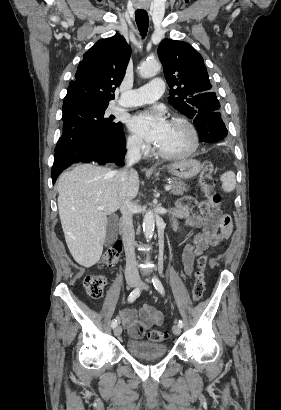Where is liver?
Listing matches in <instances>:
<instances>
[{
    "label": "liver",
    "mask_w": 281,
    "mask_h": 410,
    "mask_svg": "<svg viewBox=\"0 0 281 410\" xmlns=\"http://www.w3.org/2000/svg\"><path fill=\"white\" fill-rule=\"evenodd\" d=\"M139 176L129 174L127 198L139 192ZM58 209L65 240L74 260L95 265L103 252L108 219L120 208V190L115 171L93 164H78L58 179ZM104 210H97L98 207Z\"/></svg>",
    "instance_id": "1"
}]
</instances>
